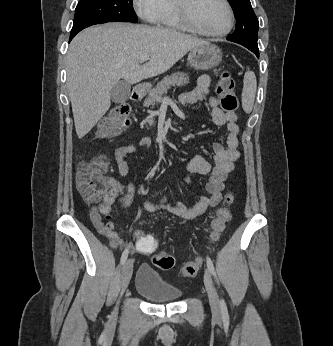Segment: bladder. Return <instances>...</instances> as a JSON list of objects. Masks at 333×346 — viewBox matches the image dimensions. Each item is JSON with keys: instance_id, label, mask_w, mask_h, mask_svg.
I'll list each match as a JSON object with an SVG mask.
<instances>
[{"instance_id": "31cf9c89", "label": "bladder", "mask_w": 333, "mask_h": 346, "mask_svg": "<svg viewBox=\"0 0 333 346\" xmlns=\"http://www.w3.org/2000/svg\"><path fill=\"white\" fill-rule=\"evenodd\" d=\"M134 287L138 293L156 304L173 303L182 295L178 287L166 281L147 264L138 268Z\"/></svg>"}]
</instances>
